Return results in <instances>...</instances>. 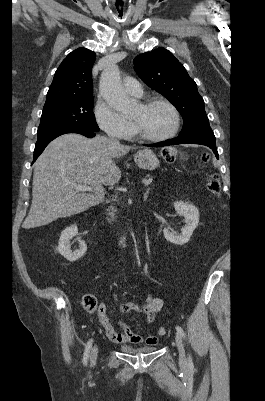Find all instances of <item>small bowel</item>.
Listing matches in <instances>:
<instances>
[{"mask_svg":"<svg viewBox=\"0 0 265 401\" xmlns=\"http://www.w3.org/2000/svg\"><path fill=\"white\" fill-rule=\"evenodd\" d=\"M113 298L117 301V294L113 293ZM162 300L152 295L148 294L145 301L142 304L139 303H125L121 305H115V307L107 312L106 307L102 304L99 306L98 315L96 320L103 326L107 338L115 344H135V345H156L158 343V338L156 336L142 337L135 334L133 331L128 329L124 323L119 322L121 332H117L110 322L111 315L118 310L120 313L125 314L131 311L141 313L145 315L150 323L155 320L156 314L162 308Z\"/></svg>","mask_w":265,"mask_h":401,"instance_id":"1","label":"small bowel"}]
</instances>
